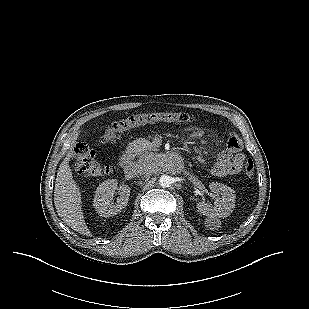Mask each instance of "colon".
I'll return each mask as SVG.
<instances>
[{
  "label": "colon",
  "mask_w": 309,
  "mask_h": 309,
  "mask_svg": "<svg viewBox=\"0 0 309 309\" xmlns=\"http://www.w3.org/2000/svg\"><path fill=\"white\" fill-rule=\"evenodd\" d=\"M192 115L179 112H159L152 114H134L125 119L112 123L107 127L103 135L101 136L102 144H109L116 141L123 134L134 129L136 127L143 126L148 123L167 121L177 123H190L193 122ZM230 145H234L235 148H240V140L237 137H233L228 140ZM75 171L86 177H99L106 175L110 172L108 165H102L96 161L95 151L91 149L85 143H78L74 149ZM245 175L248 178H252L254 175V162L252 159H248L245 164Z\"/></svg>",
  "instance_id": "colon-1"
}]
</instances>
